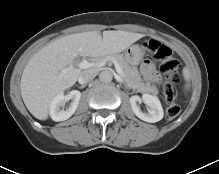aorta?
<instances>
[{
    "mask_svg": "<svg viewBox=\"0 0 219 174\" xmlns=\"http://www.w3.org/2000/svg\"><path fill=\"white\" fill-rule=\"evenodd\" d=\"M112 79H113V75L109 70H104L99 74V80L103 83L111 82Z\"/></svg>",
    "mask_w": 219,
    "mask_h": 174,
    "instance_id": "762f6f07",
    "label": "aorta"
}]
</instances>
